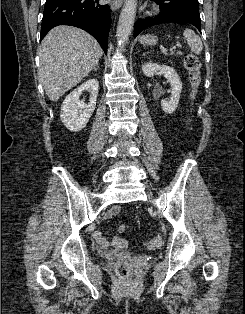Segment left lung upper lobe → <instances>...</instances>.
<instances>
[{
  "instance_id": "1",
  "label": "left lung upper lobe",
  "mask_w": 245,
  "mask_h": 314,
  "mask_svg": "<svg viewBox=\"0 0 245 314\" xmlns=\"http://www.w3.org/2000/svg\"><path fill=\"white\" fill-rule=\"evenodd\" d=\"M168 1V10L189 9L199 12L198 0H166Z\"/></svg>"
}]
</instances>
